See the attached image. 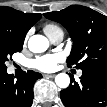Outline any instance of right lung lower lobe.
I'll use <instances>...</instances> for the list:
<instances>
[{
	"label": "right lung lower lobe",
	"instance_id": "98d812e1",
	"mask_svg": "<svg viewBox=\"0 0 107 107\" xmlns=\"http://www.w3.org/2000/svg\"><path fill=\"white\" fill-rule=\"evenodd\" d=\"M41 77L40 73L27 71L14 81L13 75L0 69V107H31L33 85Z\"/></svg>",
	"mask_w": 107,
	"mask_h": 107
}]
</instances>
